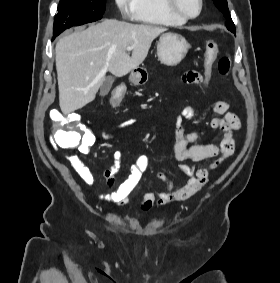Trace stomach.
Instances as JSON below:
<instances>
[{
    "mask_svg": "<svg viewBox=\"0 0 280 283\" xmlns=\"http://www.w3.org/2000/svg\"><path fill=\"white\" fill-rule=\"evenodd\" d=\"M189 43L180 34L168 32L161 35L157 43L158 60L167 66L178 65L187 55ZM145 70L132 72L130 80L136 85L143 83L145 79Z\"/></svg>",
    "mask_w": 280,
    "mask_h": 283,
    "instance_id": "stomach-1",
    "label": "stomach"
}]
</instances>
